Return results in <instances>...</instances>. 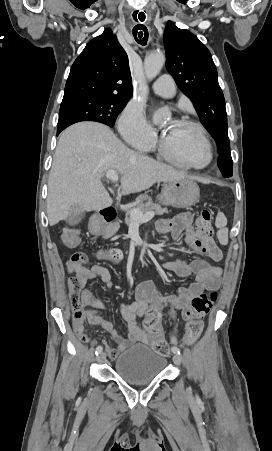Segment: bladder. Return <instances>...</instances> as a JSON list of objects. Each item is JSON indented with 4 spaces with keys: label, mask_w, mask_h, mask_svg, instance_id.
<instances>
[{
    "label": "bladder",
    "mask_w": 272,
    "mask_h": 451,
    "mask_svg": "<svg viewBox=\"0 0 272 451\" xmlns=\"http://www.w3.org/2000/svg\"><path fill=\"white\" fill-rule=\"evenodd\" d=\"M167 365L166 357L144 345H134L122 352L115 361L118 377L131 384H149L162 373Z\"/></svg>",
    "instance_id": "bladder-1"
}]
</instances>
